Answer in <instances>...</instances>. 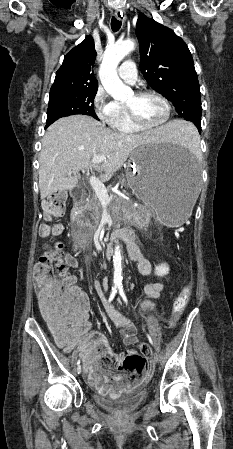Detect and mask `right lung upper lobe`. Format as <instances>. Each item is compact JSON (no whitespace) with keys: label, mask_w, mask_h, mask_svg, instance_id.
<instances>
[{"label":"right lung upper lobe","mask_w":233,"mask_h":449,"mask_svg":"<svg viewBox=\"0 0 233 449\" xmlns=\"http://www.w3.org/2000/svg\"><path fill=\"white\" fill-rule=\"evenodd\" d=\"M95 57L94 40L91 36H87L82 43L65 55L56 73L50 94L63 91L97 90L98 82L93 73Z\"/></svg>","instance_id":"right-lung-upper-lobe-1"}]
</instances>
